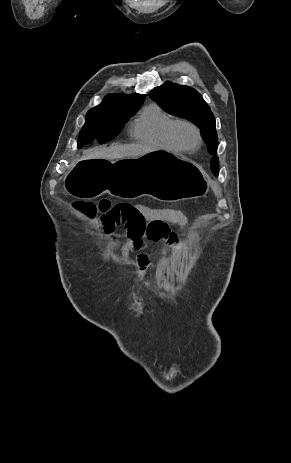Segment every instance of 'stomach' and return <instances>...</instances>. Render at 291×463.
<instances>
[{
	"mask_svg": "<svg viewBox=\"0 0 291 463\" xmlns=\"http://www.w3.org/2000/svg\"><path fill=\"white\" fill-rule=\"evenodd\" d=\"M68 175L69 194L94 199L104 193L136 199L150 196L164 202L199 198L209 189L205 171L195 162L163 150L136 158L83 157Z\"/></svg>",
	"mask_w": 291,
	"mask_h": 463,
	"instance_id": "obj_1",
	"label": "stomach"
}]
</instances>
